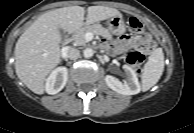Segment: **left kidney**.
<instances>
[{
	"instance_id": "1",
	"label": "left kidney",
	"mask_w": 194,
	"mask_h": 133,
	"mask_svg": "<svg viewBox=\"0 0 194 133\" xmlns=\"http://www.w3.org/2000/svg\"><path fill=\"white\" fill-rule=\"evenodd\" d=\"M123 69L126 74V80L121 82L119 79L111 76H105L107 86L113 91L122 95H135L141 90L135 71L128 65H124Z\"/></svg>"
}]
</instances>
